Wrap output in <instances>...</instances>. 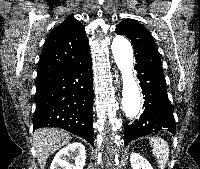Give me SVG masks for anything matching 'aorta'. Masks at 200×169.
Instances as JSON below:
<instances>
[{
	"instance_id": "762f6f07",
	"label": "aorta",
	"mask_w": 200,
	"mask_h": 169,
	"mask_svg": "<svg viewBox=\"0 0 200 169\" xmlns=\"http://www.w3.org/2000/svg\"><path fill=\"white\" fill-rule=\"evenodd\" d=\"M115 63L119 68L122 81V107L127 117L138 115L141 107L139 86L133 75V50L124 36H116L111 45Z\"/></svg>"
}]
</instances>
